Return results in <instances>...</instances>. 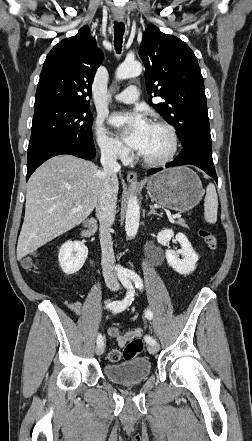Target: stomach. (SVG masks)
Wrapping results in <instances>:
<instances>
[{"mask_svg": "<svg viewBox=\"0 0 252 441\" xmlns=\"http://www.w3.org/2000/svg\"><path fill=\"white\" fill-rule=\"evenodd\" d=\"M152 201L169 209L185 212L192 209L203 194L197 174L188 167H174L152 176L147 184Z\"/></svg>", "mask_w": 252, "mask_h": 441, "instance_id": "stomach-1", "label": "stomach"}]
</instances>
